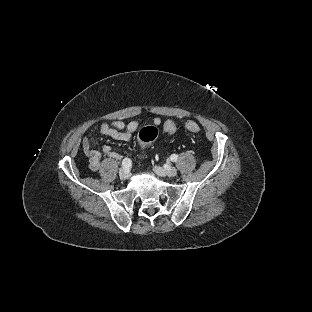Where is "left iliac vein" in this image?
<instances>
[{
	"instance_id": "left-iliac-vein-1",
	"label": "left iliac vein",
	"mask_w": 312,
	"mask_h": 312,
	"mask_svg": "<svg viewBox=\"0 0 312 312\" xmlns=\"http://www.w3.org/2000/svg\"><path fill=\"white\" fill-rule=\"evenodd\" d=\"M155 173L159 176L173 177L177 174V169L175 167H156Z\"/></svg>"
}]
</instances>
